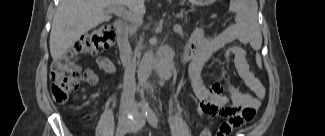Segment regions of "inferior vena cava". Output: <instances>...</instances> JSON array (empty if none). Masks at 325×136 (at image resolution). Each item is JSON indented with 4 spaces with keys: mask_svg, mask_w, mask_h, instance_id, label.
Wrapping results in <instances>:
<instances>
[{
    "mask_svg": "<svg viewBox=\"0 0 325 136\" xmlns=\"http://www.w3.org/2000/svg\"><path fill=\"white\" fill-rule=\"evenodd\" d=\"M135 88H136V86H135L133 70H132V67L129 66L124 71L123 93H122L123 96L133 100L134 95H135Z\"/></svg>",
    "mask_w": 325,
    "mask_h": 136,
    "instance_id": "inferior-vena-cava-1",
    "label": "inferior vena cava"
}]
</instances>
